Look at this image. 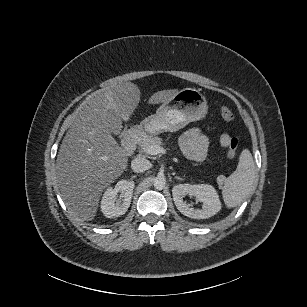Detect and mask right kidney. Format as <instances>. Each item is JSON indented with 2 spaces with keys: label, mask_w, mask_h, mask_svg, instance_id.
Masks as SVG:
<instances>
[{
  "label": "right kidney",
  "mask_w": 307,
  "mask_h": 307,
  "mask_svg": "<svg viewBox=\"0 0 307 307\" xmlns=\"http://www.w3.org/2000/svg\"><path fill=\"white\" fill-rule=\"evenodd\" d=\"M134 189V181L121 180L115 188H108L101 201V211L107 218L119 217L128 210ZM120 197L117 198V193Z\"/></svg>",
  "instance_id": "right-kidney-1"
}]
</instances>
